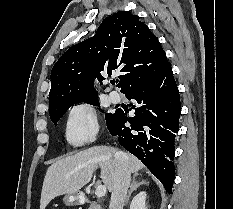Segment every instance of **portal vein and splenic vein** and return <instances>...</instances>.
<instances>
[{
	"label": "portal vein and splenic vein",
	"mask_w": 233,
	"mask_h": 209,
	"mask_svg": "<svg viewBox=\"0 0 233 209\" xmlns=\"http://www.w3.org/2000/svg\"><path fill=\"white\" fill-rule=\"evenodd\" d=\"M95 194L97 197H103L106 194V186L105 185H99L96 188Z\"/></svg>",
	"instance_id": "18ae733b"
}]
</instances>
